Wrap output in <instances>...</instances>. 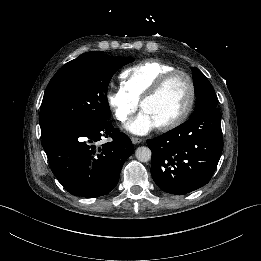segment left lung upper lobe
<instances>
[{
  "label": "left lung upper lobe",
  "instance_id": "5c2ea615",
  "mask_svg": "<svg viewBox=\"0 0 261 261\" xmlns=\"http://www.w3.org/2000/svg\"><path fill=\"white\" fill-rule=\"evenodd\" d=\"M191 69L196 94V106L193 114H197L207 108H217L216 95L211 83L198 68Z\"/></svg>",
  "mask_w": 261,
  "mask_h": 261
}]
</instances>
